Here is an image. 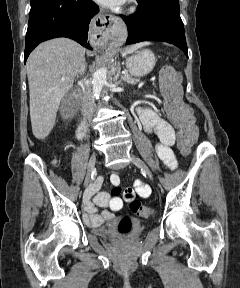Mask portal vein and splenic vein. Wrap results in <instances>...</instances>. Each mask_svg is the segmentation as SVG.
I'll return each instance as SVG.
<instances>
[{
	"mask_svg": "<svg viewBox=\"0 0 240 288\" xmlns=\"http://www.w3.org/2000/svg\"><path fill=\"white\" fill-rule=\"evenodd\" d=\"M123 75L125 76V75H128L126 72H123Z\"/></svg>",
	"mask_w": 240,
	"mask_h": 288,
	"instance_id": "portal-vein-and-splenic-vein-1",
	"label": "portal vein and splenic vein"
}]
</instances>
